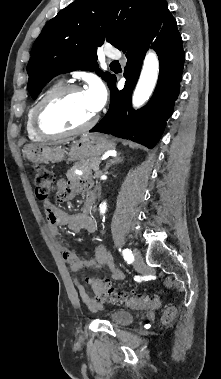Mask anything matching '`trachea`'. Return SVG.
<instances>
[{
    "instance_id": "3493384b",
    "label": "trachea",
    "mask_w": 221,
    "mask_h": 379,
    "mask_svg": "<svg viewBox=\"0 0 221 379\" xmlns=\"http://www.w3.org/2000/svg\"><path fill=\"white\" fill-rule=\"evenodd\" d=\"M111 64H119L118 61H113Z\"/></svg>"
}]
</instances>
